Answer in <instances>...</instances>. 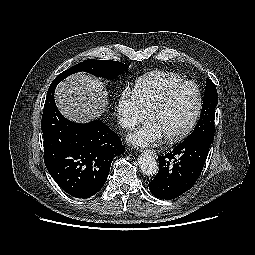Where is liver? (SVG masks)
<instances>
[{
    "mask_svg": "<svg viewBox=\"0 0 255 255\" xmlns=\"http://www.w3.org/2000/svg\"><path fill=\"white\" fill-rule=\"evenodd\" d=\"M105 85L96 77L78 73L62 81L55 92L57 107L69 120L85 123L99 117L108 103Z\"/></svg>",
    "mask_w": 255,
    "mask_h": 255,
    "instance_id": "6515ba94",
    "label": "liver"
}]
</instances>
